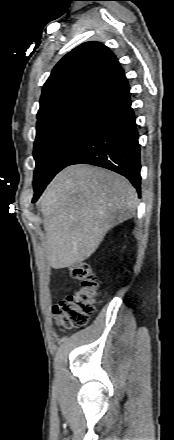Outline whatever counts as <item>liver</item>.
Masks as SVG:
<instances>
[{
	"mask_svg": "<svg viewBox=\"0 0 174 440\" xmlns=\"http://www.w3.org/2000/svg\"><path fill=\"white\" fill-rule=\"evenodd\" d=\"M137 206L136 190L125 177L95 166L66 167L40 198L50 266L71 267L89 258Z\"/></svg>",
	"mask_w": 174,
	"mask_h": 440,
	"instance_id": "6515ba94",
	"label": "liver"
}]
</instances>
